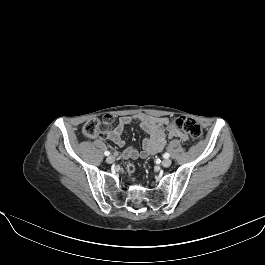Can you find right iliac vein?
<instances>
[{
    "mask_svg": "<svg viewBox=\"0 0 265 265\" xmlns=\"http://www.w3.org/2000/svg\"><path fill=\"white\" fill-rule=\"evenodd\" d=\"M114 160H115V158L113 156H108L106 159L107 163H109V164L113 163Z\"/></svg>",
    "mask_w": 265,
    "mask_h": 265,
    "instance_id": "obj_1",
    "label": "right iliac vein"
}]
</instances>
